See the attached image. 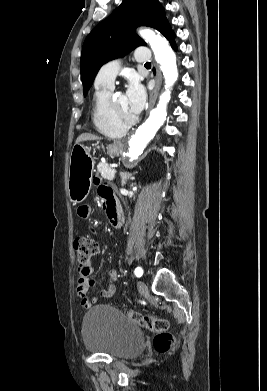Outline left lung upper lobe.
Segmentation results:
<instances>
[{
  "label": "left lung upper lobe",
  "mask_w": 267,
  "mask_h": 391,
  "mask_svg": "<svg viewBox=\"0 0 267 391\" xmlns=\"http://www.w3.org/2000/svg\"><path fill=\"white\" fill-rule=\"evenodd\" d=\"M141 25L153 27L163 35L171 29L158 0H124L90 32L80 60L84 96L104 63L146 45L135 33V28Z\"/></svg>",
  "instance_id": "left-lung-upper-lobe-1"
}]
</instances>
